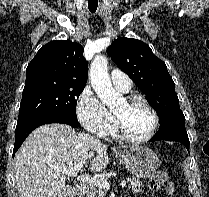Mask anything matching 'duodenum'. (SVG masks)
Listing matches in <instances>:
<instances>
[{
	"instance_id": "duodenum-1",
	"label": "duodenum",
	"mask_w": 209,
	"mask_h": 197,
	"mask_svg": "<svg viewBox=\"0 0 209 197\" xmlns=\"http://www.w3.org/2000/svg\"><path fill=\"white\" fill-rule=\"evenodd\" d=\"M83 191L81 188H74L70 194V197H82Z\"/></svg>"
}]
</instances>
